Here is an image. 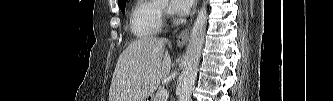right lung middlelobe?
<instances>
[{
	"instance_id": "dd1d6c3e",
	"label": "right lung middle lobe",
	"mask_w": 333,
	"mask_h": 101,
	"mask_svg": "<svg viewBox=\"0 0 333 101\" xmlns=\"http://www.w3.org/2000/svg\"><path fill=\"white\" fill-rule=\"evenodd\" d=\"M125 5H126V1L124 3L119 4V7H120L123 14L125 12Z\"/></svg>"
}]
</instances>
